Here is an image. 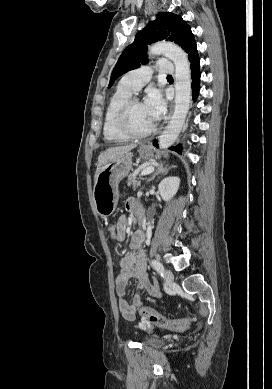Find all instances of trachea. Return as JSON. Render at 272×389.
<instances>
[{"instance_id": "trachea-1", "label": "trachea", "mask_w": 272, "mask_h": 389, "mask_svg": "<svg viewBox=\"0 0 272 389\" xmlns=\"http://www.w3.org/2000/svg\"><path fill=\"white\" fill-rule=\"evenodd\" d=\"M167 77H168V78H172V76H171V75H168Z\"/></svg>"}]
</instances>
